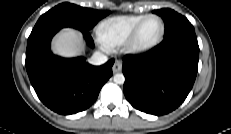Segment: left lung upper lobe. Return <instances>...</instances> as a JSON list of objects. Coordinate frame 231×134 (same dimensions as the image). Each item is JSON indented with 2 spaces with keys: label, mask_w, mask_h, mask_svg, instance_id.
<instances>
[{
  "label": "left lung upper lobe",
  "mask_w": 231,
  "mask_h": 134,
  "mask_svg": "<svg viewBox=\"0 0 231 134\" xmlns=\"http://www.w3.org/2000/svg\"><path fill=\"white\" fill-rule=\"evenodd\" d=\"M154 13L161 16L165 21L164 38L178 32L194 30V27L187 18L174 10L160 9L155 10Z\"/></svg>",
  "instance_id": "obj_1"
}]
</instances>
